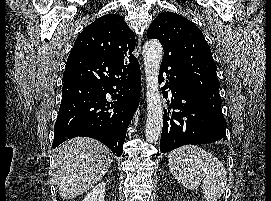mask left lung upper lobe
I'll use <instances>...</instances> for the list:
<instances>
[{"label": "left lung upper lobe", "mask_w": 271, "mask_h": 201, "mask_svg": "<svg viewBox=\"0 0 271 201\" xmlns=\"http://www.w3.org/2000/svg\"><path fill=\"white\" fill-rule=\"evenodd\" d=\"M147 37L158 39L165 51L164 63L172 65L211 111L226 134L221 110L220 83L216 63L202 32L185 17L172 12L159 14L151 23Z\"/></svg>", "instance_id": "left-lung-upper-lobe-1"}]
</instances>
